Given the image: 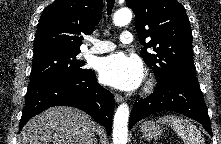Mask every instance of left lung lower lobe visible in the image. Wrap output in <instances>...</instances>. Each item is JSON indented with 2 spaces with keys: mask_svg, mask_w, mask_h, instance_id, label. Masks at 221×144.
Listing matches in <instances>:
<instances>
[{
  "mask_svg": "<svg viewBox=\"0 0 221 144\" xmlns=\"http://www.w3.org/2000/svg\"><path fill=\"white\" fill-rule=\"evenodd\" d=\"M159 111H174L200 122L212 136L210 119L199 84L171 78L157 82L154 92L136 102L131 110L129 128Z\"/></svg>",
  "mask_w": 221,
  "mask_h": 144,
  "instance_id": "left-lung-lower-lobe-1",
  "label": "left lung lower lobe"
}]
</instances>
